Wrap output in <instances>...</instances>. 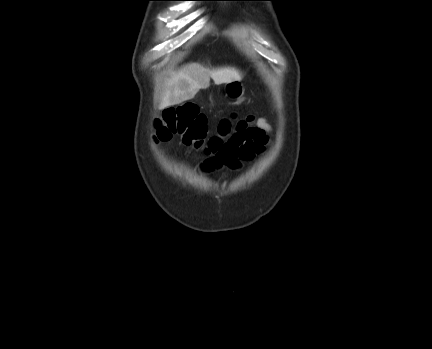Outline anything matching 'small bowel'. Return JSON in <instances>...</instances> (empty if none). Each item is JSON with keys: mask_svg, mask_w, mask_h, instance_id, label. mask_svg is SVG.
<instances>
[{"mask_svg": "<svg viewBox=\"0 0 432 349\" xmlns=\"http://www.w3.org/2000/svg\"><path fill=\"white\" fill-rule=\"evenodd\" d=\"M272 131L266 119H259L255 126L233 136L227 143L224 152L205 163L206 169L226 166L239 169L243 163L252 161L262 154L269 144V133Z\"/></svg>", "mask_w": 432, "mask_h": 349, "instance_id": "small-bowel-1", "label": "small bowel"}]
</instances>
